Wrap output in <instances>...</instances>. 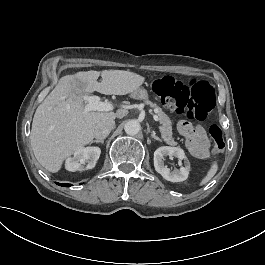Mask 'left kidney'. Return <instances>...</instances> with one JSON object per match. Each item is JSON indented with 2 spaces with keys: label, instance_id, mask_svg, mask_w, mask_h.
<instances>
[{
  "label": "left kidney",
  "instance_id": "5707ae66",
  "mask_svg": "<svg viewBox=\"0 0 265 265\" xmlns=\"http://www.w3.org/2000/svg\"><path fill=\"white\" fill-rule=\"evenodd\" d=\"M170 156L179 160H185V166L180 164V168L171 171L164 165V158ZM154 167L166 180L172 182L184 181L188 178L190 166L184 151L177 147H160L154 152Z\"/></svg>",
  "mask_w": 265,
  "mask_h": 265
}]
</instances>
